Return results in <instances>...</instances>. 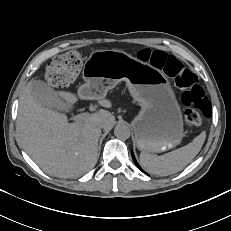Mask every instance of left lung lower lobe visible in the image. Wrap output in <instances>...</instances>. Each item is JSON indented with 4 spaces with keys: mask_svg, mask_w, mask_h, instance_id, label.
I'll return each instance as SVG.
<instances>
[{
    "mask_svg": "<svg viewBox=\"0 0 231 231\" xmlns=\"http://www.w3.org/2000/svg\"><path fill=\"white\" fill-rule=\"evenodd\" d=\"M132 157H133V160H134L135 164L137 165V167H138L141 171H143V170L140 168V166L138 165L137 161L135 160V157H134L133 154H132ZM143 172H144V171H143Z\"/></svg>",
    "mask_w": 231,
    "mask_h": 231,
    "instance_id": "0a47b994",
    "label": "left lung lower lobe"
}]
</instances>
